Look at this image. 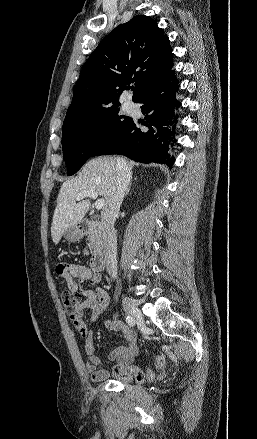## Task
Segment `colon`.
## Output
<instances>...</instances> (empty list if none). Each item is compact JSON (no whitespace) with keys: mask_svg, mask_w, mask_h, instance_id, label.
I'll use <instances>...</instances> for the list:
<instances>
[{"mask_svg":"<svg viewBox=\"0 0 257 439\" xmlns=\"http://www.w3.org/2000/svg\"><path fill=\"white\" fill-rule=\"evenodd\" d=\"M82 296V293L79 291L65 290L62 292V302L69 314L76 312L82 301ZM156 364L161 365L160 358L156 359ZM116 376L122 380L144 383L153 378V373L150 370H141L133 366H127L119 369L116 372Z\"/></svg>","mask_w":257,"mask_h":439,"instance_id":"5ec220e1","label":"colon"}]
</instances>
